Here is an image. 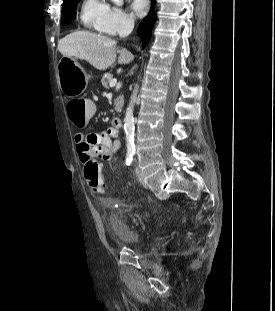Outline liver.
Segmentation results:
<instances>
[{"instance_id": "obj_1", "label": "liver", "mask_w": 275, "mask_h": 311, "mask_svg": "<svg viewBox=\"0 0 275 311\" xmlns=\"http://www.w3.org/2000/svg\"><path fill=\"white\" fill-rule=\"evenodd\" d=\"M58 50L64 57L86 60L98 70L113 67L117 53L118 64H129L134 59L127 49H118L116 41L89 31H75L66 35L59 41Z\"/></svg>"}]
</instances>
